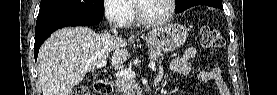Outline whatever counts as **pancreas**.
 I'll return each instance as SVG.
<instances>
[{"label": "pancreas", "instance_id": "1", "mask_svg": "<svg viewBox=\"0 0 277 95\" xmlns=\"http://www.w3.org/2000/svg\"><path fill=\"white\" fill-rule=\"evenodd\" d=\"M152 62H162L163 54L160 50H151L149 54ZM117 92L121 95H136L139 92L138 85L133 79H117Z\"/></svg>", "mask_w": 277, "mask_h": 95}]
</instances>
